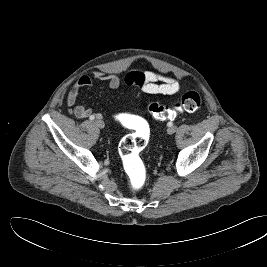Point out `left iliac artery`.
<instances>
[{
    "label": "left iliac artery",
    "mask_w": 267,
    "mask_h": 267,
    "mask_svg": "<svg viewBox=\"0 0 267 267\" xmlns=\"http://www.w3.org/2000/svg\"><path fill=\"white\" fill-rule=\"evenodd\" d=\"M167 125H168V127H171V126H173V122L170 121V122H168Z\"/></svg>",
    "instance_id": "1"
}]
</instances>
